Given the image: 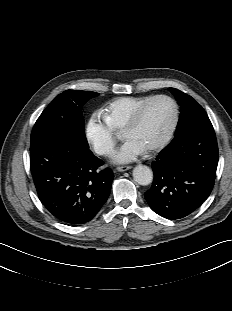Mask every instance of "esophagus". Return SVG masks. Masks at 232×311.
<instances>
[{
	"instance_id": "34e87169",
	"label": "esophagus",
	"mask_w": 232,
	"mask_h": 311,
	"mask_svg": "<svg viewBox=\"0 0 232 311\" xmlns=\"http://www.w3.org/2000/svg\"><path fill=\"white\" fill-rule=\"evenodd\" d=\"M132 168V166H119V167H117L116 169H117V171H119V172H125V171H127V170H130Z\"/></svg>"
}]
</instances>
